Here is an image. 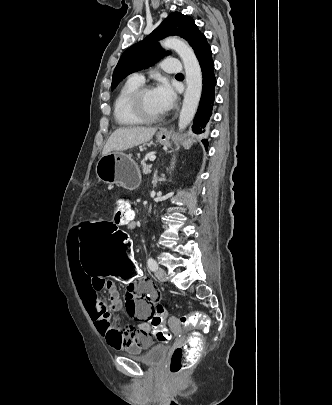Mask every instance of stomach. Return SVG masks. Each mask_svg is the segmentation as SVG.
Masks as SVG:
<instances>
[{"mask_svg": "<svg viewBox=\"0 0 332 405\" xmlns=\"http://www.w3.org/2000/svg\"><path fill=\"white\" fill-rule=\"evenodd\" d=\"M156 138L160 144L166 146L170 141V133L160 131ZM193 142L192 138H186L184 146L189 148ZM95 171L101 181L129 190L136 188L141 181L138 164L130 156L119 151L103 155L97 162Z\"/></svg>", "mask_w": 332, "mask_h": 405, "instance_id": "1", "label": "stomach"}]
</instances>
